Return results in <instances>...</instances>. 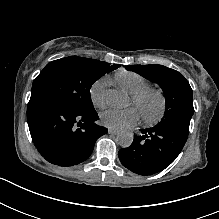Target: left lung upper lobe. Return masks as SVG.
I'll return each instance as SVG.
<instances>
[{
	"label": "left lung upper lobe",
	"mask_w": 219,
	"mask_h": 219,
	"mask_svg": "<svg viewBox=\"0 0 219 219\" xmlns=\"http://www.w3.org/2000/svg\"><path fill=\"white\" fill-rule=\"evenodd\" d=\"M126 69L156 82L162 88L166 107L158 125H176L189 130L194 113L193 94L190 84L182 74L162 65H130Z\"/></svg>",
	"instance_id": "left-lung-upper-lobe-1"
}]
</instances>
